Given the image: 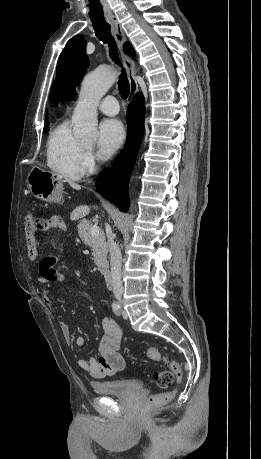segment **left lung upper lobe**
I'll list each match as a JSON object with an SVG mask.
<instances>
[{"mask_svg":"<svg viewBox=\"0 0 261 459\" xmlns=\"http://www.w3.org/2000/svg\"><path fill=\"white\" fill-rule=\"evenodd\" d=\"M124 49L128 55H135L130 43H125ZM85 53V41L80 36H75L67 42L58 59L56 80L50 94L51 102L57 104L61 97L73 99L75 86L80 83L89 65Z\"/></svg>","mask_w":261,"mask_h":459,"instance_id":"left-lung-upper-lobe-1","label":"left lung upper lobe"}]
</instances>
